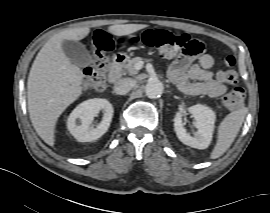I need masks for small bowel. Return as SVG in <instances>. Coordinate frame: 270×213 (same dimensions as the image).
I'll use <instances>...</instances> for the list:
<instances>
[{
  "instance_id": "c3829d8e",
  "label": "small bowel",
  "mask_w": 270,
  "mask_h": 213,
  "mask_svg": "<svg viewBox=\"0 0 270 213\" xmlns=\"http://www.w3.org/2000/svg\"><path fill=\"white\" fill-rule=\"evenodd\" d=\"M214 62V57L210 54H203L197 62H193L191 56L184 55L172 62L168 74L177 87L186 94L218 97L227 87L210 71Z\"/></svg>"
}]
</instances>
